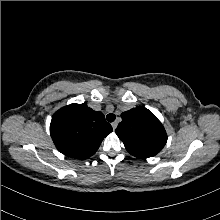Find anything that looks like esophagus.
<instances>
[{"mask_svg":"<svg viewBox=\"0 0 220 220\" xmlns=\"http://www.w3.org/2000/svg\"><path fill=\"white\" fill-rule=\"evenodd\" d=\"M111 125H112L113 130H115L116 127H117V125H118V123H117V121H115V122H113Z\"/></svg>","mask_w":220,"mask_h":220,"instance_id":"34e87169","label":"esophagus"}]
</instances>
